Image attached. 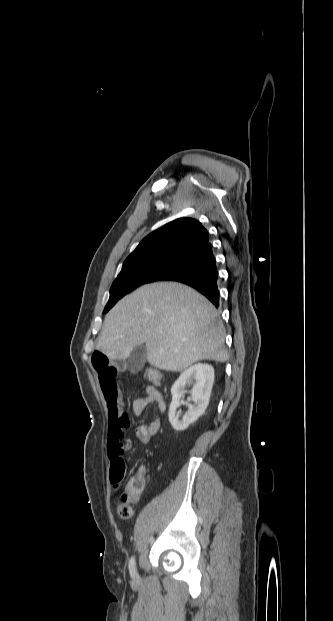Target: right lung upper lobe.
Instances as JSON below:
<instances>
[{
    "label": "right lung upper lobe",
    "instance_id": "obj_1",
    "mask_svg": "<svg viewBox=\"0 0 333 621\" xmlns=\"http://www.w3.org/2000/svg\"><path fill=\"white\" fill-rule=\"evenodd\" d=\"M210 242L208 231L193 218H179L146 236L124 263L156 258L186 259Z\"/></svg>",
    "mask_w": 333,
    "mask_h": 621
}]
</instances>
